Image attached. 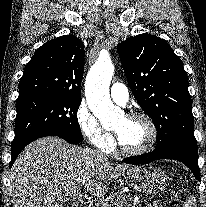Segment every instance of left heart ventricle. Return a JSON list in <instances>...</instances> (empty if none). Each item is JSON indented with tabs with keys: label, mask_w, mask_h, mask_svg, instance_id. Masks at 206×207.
Instances as JSON below:
<instances>
[{
	"label": "left heart ventricle",
	"mask_w": 206,
	"mask_h": 207,
	"mask_svg": "<svg viewBox=\"0 0 206 207\" xmlns=\"http://www.w3.org/2000/svg\"><path fill=\"white\" fill-rule=\"evenodd\" d=\"M114 132L121 144L128 149L143 147L150 135L149 128L143 120H128L126 117L117 122Z\"/></svg>",
	"instance_id": "1"
}]
</instances>
